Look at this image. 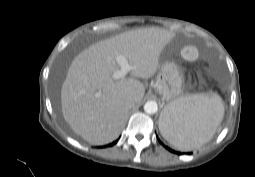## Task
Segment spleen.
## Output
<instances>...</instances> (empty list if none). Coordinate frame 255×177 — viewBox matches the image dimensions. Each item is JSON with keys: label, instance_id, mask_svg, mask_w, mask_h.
I'll return each mask as SVG.
<instances>
[{"label": "spleen", "instance_id": "spleen-1", "mask_svg": "<svg viewBox=\"0 0 255 177\" xmlns=\"http://www.w3.org/2000/svg\"><path fill=\"white\" fill-rule=\"evenodd\" d=\"M168 119H159L162 136L176 149L190 151L209 142L224 115L217 94H193L180 97L165 109Z\"/></svg>", "mask_w": 255, "mask_h": 177}]
</instances>
